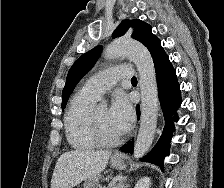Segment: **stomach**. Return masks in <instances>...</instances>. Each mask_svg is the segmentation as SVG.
<instances>
[{
  "mask_svg": "<svg viewBox=\"0 0 224 188\" xmlns=\"http://www.w3.org/2000/svg\"><path fill=\"white\" fill-rule=\"evenodd\" d=\"M111 165L116 169H123L126 166L123 158L117 159L115 157H112Z\"/></svg>",
  "mask_w": 224,
  "mask_h": 188,
  "instance_id": "0dacf381",
  "label": "stomach"
}]
</instances>
